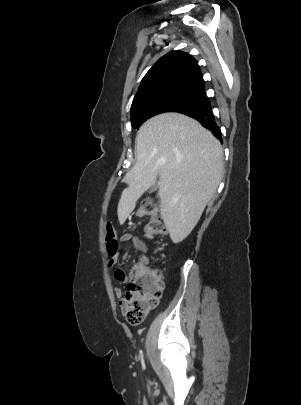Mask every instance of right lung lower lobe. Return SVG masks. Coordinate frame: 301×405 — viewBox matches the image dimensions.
Returning a JSON list of instances; mask_svg holds the SVG:
<instances>
[{
	"instance_id": "obj_1",
	"label": "right lung lower lobe",
	"mask_w": 301,
	"mask_h": 405,
	"mask_svg": "<svg viewBox=\"0 0 301 405\" xmlns=\"http://www.w3.org/2000/svg\"><path fill=\"white\" fill-rule=\"evenodd\" d=\"M180 113L198 120L205 128L212 131V133H214V135H216L222 141L221 131L215 123L214 115L210 105L197 109H186L184 111H181Z\"/></svg>"
}]
</instances>
